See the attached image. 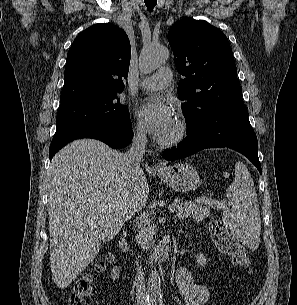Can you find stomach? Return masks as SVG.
Instances as JSON below:
<instances>
[{
    "mask_svg": "<svg viewBox=\"0 0 297 305\" xmlns=\"http://www.w3.org/2000/svg\"><path fill=\"white\" fill-rule=\"evenodd\" d=\"M158 176L178 192L195 190L200 184L197 170L187 163L165 166L157 170Z\"/></svg>",
    "mask_w": 297,
    "mask_h": 305,
    "instance_id": "0dacf381",
    "label": "stomach"
}]
</instances>
